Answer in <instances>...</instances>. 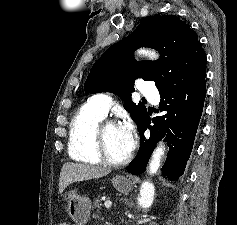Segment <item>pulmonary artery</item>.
<instances>
[{"mask_svg": "<svg viewBox=\"0 0 237 225\" xmlns=\"http://www.w3.org/2000/svg\"><path fill=\"white\" fill-rule=\"evenodd\" d=\"M141 93L153 103L158 101V93L156 87L152 83H146L141 89ZM92 101L97 109L106 115L112 105V97L107 93H100L93 96Z\"/></svg>", "mask_w": 237, "mask_h": 225, "instance_id": "e3ab8cb5", "label": "pulmonary artery"}]
</instances>
